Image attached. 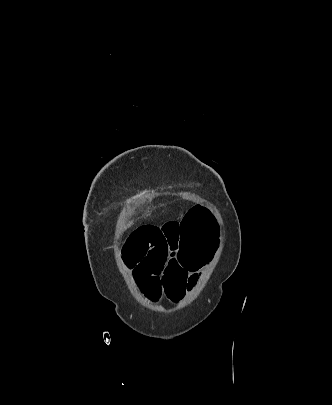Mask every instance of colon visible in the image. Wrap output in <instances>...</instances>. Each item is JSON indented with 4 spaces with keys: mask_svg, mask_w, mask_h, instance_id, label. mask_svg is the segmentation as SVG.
<instances>
[{
    "mask_svg": "<svg viewBox=\"0 0 332 405\" xmlns=\"http://www.w3.org/2000/svg\"><path fill=\"white\" fill-rule=\"evenodd\" d=\"M204 207L201 202L194 205L188 220H179L177 262H184V268H211L219 247L216 220H209L211 213Z\"/></svg>",
    "mask_w": 332,
    "mask_h": 405,
    "instance_id": "1",
    "label": "colon"
}]
</instances>
